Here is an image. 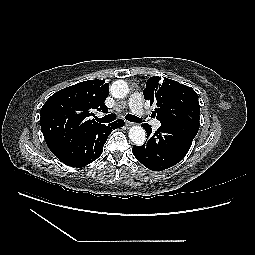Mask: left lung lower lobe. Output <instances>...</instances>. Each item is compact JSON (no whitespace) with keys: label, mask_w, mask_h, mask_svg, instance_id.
Instances as JSON below:
<instances>
[{"label":"left lung lower lobe","mask_w":255,"mask_h":255,"mask_svg":"<svg viewBox=\"0 0 255 255\" xmlns=\"http://www.w3.org/2000/svg\"><path fill=\"white\" fill-rule=\"evenodd\" d=\"M148 141L143 146H133L135 158L153 171H162L179 163L189 151L199 127L161 123L152 133L148 124H143Z\"/></svg>","instance_id":"obj_1"}]
</instances>
